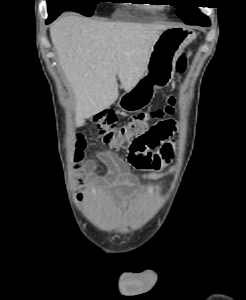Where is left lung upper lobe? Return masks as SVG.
Returning <instances> with one entry per match:
<instances>
[{
  "mask_svg": "<svg viewBox=\"0 0 246 300\" xmlns=\"http://www.w3.org/2000/svg\"><path fill=\"white\" fill-rule=\"evenodd\" d=\"M181 6H178L177 15L189 25H210L209 18L201 13L196 7V4L201 1L198 0H184Z\"/></svg>",
  "mask_w": 246,
  "mask_h": 300,
  "instance_id": "1",
  "label": "left lung upper lobe"
}]
</instances>
